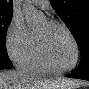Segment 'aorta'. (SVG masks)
<instances>
[{"label": "aorta", "instance_id": "1", "mask_svg": "<svg viewBox=\"0 0 89 89\" xmlns=\"http://www.w3.org/2000/svg\"><path fill=\"white\" fill-rule=\"evenodd\" d=\"M22 9L29 28L37 26L44 20V14L34 7L31 0H25Z\"/></svg>", "mask_w": 89, "mask_h": 89}]
</instances>
